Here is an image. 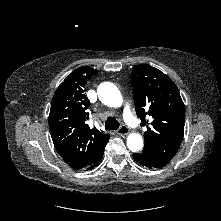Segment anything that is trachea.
I'll use <instances>...</instances> for the list:
<instances>
[{"label": "trachea", "instance_id": "obj_1", "mask_svg": "<svg viewBox=\"0 0 221 221\" xmlns=\"http://www.w3.org/2000/svg\"><path fill=\"white\" fill-rule=\"evenodd\" d=\"M120 126V123L115 117H108L105 121V128L107 130H117Z\"/></svg>", "mask_w": 221, "mask_h": 221}]
</instances>
